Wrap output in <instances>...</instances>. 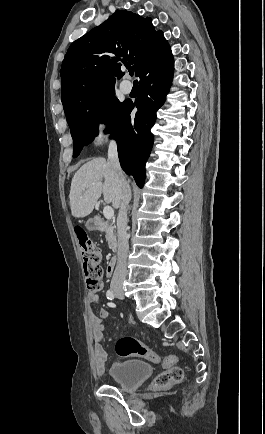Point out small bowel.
<instances>
[{
  "label": "small bowel",
  "instance_id": "small-bowel-1",
  "mask_svg": "<svg viewBox=\"0 0 265 434\" xmlns=\"http://www.w3.org/2000/svg\"><path fill=\"white\" fill-rule=\"evenodd\" d=\"M86 299L89 304L98 303L99 295L90 291L87 293ZM109 315L110 313L106 308H101L98 314H94L92 311L90 312L93 342L92 367L94 374L97 376L103 375L106 369L107 351L103 346V342L105 338L106 321ZM173 365L174 364L170 362L167 357L160 361V366L163 369H167Z\"/></svg>",
  "mask_w": 265,
  "mask_h": 434
}]
</instances>
